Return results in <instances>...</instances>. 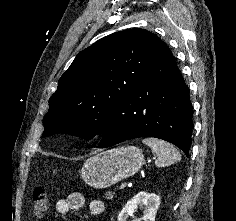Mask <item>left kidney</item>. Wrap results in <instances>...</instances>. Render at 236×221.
<instances>
[{"label": "left kidney", "mask_w": 236, "mask_h": 221, "mask_svg": "<svg viewBox=\"0 0 236 221\" xmlns=\"http://www.w3.org/2000/svg\"><path fill=\"white\" fill-rule=\"evenodd\" d=\"M160 205V198L156 194H149L146 192H139L131 200L127 202L125 207L119 213L118 221H127L138 206L144 207L143 216L134 221H155V216Z\"/></svg>", "instance_id": "1"}]
</instances>
